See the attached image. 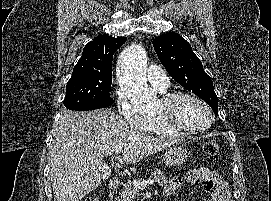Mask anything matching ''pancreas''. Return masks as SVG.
Wrapping results in <instances>:
<instances>
[{
	"mask_svg": "<svg viewBox=\"0 0 271 201\" xmlns=\"http://www.w3.org/2000/svg\"><path fill=\"white\" fill-rule=\"evenodd\" d=\"M160 170H155L151 173L153 179L159 184V186L164 187L167 184L166 177L162 176ZM141 196L139 188L135 187L133 182L127 181L123 184L122 190L116 197L115 201H139Z\"/></svg>",
	"mask_w": 271,
	"mask_h": 201,
	"instance_id": "obj_1",
	"label": "pancreas"
}]
</instances>
